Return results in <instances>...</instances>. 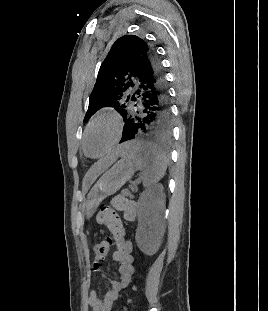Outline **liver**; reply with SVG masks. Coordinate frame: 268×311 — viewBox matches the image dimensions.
Here are the masks:
<instances>
[{
    "instance_id": "6515ba94",
    "label": "liver",
    "mask_w": 268,
    "mask_h": 311,
    "mask_svg": "<svg viewBox=\"0 0 268 311\" xmlns=\"http://www.w3.org/2000/svg\"><path fill=\"white\" fill-rule=\"evenodd\" d=\"M125 146L119 147L117 150L112 152L110 155L99 160L86 174L85 181H94L102 172H104L110 165H112L117 157L124 154Z\"/></svg>"
}]
</instances>
